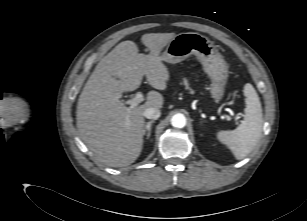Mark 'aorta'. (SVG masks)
<instances>
[{
	"label": "aorta",
	"mask_w": 307,
	"mask_h": 221,
	"mask_svg": "<svg viewBox=\"0 0 307 221\" xmlns=\"http://www.w3.org/2000/svg\"><path fill=\"white\" fill-rule=\"evenodd\" d=\"M171 124L176 128H183L186 125V118L182 114H175L171 118Z\"/></svg>",
	"instance_id": "aorta-1"
}]
</instances>
